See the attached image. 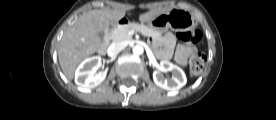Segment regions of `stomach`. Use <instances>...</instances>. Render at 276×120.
Segmentation results:
<instances>
[{
	"instance_id": "obj_1",
	"label": "stomach",
	"mask_w": 276,
	"mask_h": 120,
	"mask_svg": "<svg viewBox=\"0 0 276 120\" xmlns=\"http://www.w3.org/2000/svg\"><path fill=\"white\" fill-rule=\"evenodd\" d=\"M150 29L163 33L168 29L175 32H187L197 25L194 15L187 10L172 8L166 13H161L147 22Z\"/></svg>"
}]
</instances>
